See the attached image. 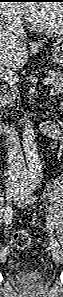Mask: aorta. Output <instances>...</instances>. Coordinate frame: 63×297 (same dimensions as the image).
I'll list each match as a JSON object with an SVG mask.
<instances>
[{
  "label": "aorta",
  "instance_id": "obj_1",
  "mask_svg": "<svg viewBox=\"0 0 63 297\" xmlns=\"http://www.w3.org/2000/svg\"><path fill=\"white\" fill-rule=\"evenodd\" d=\"M23 149L26 161L31 169H39V156L37 152V144L35 142V131L33 123L30 119L26 120L23 126Z\"/></svg>",
  "mask_w": 63,
  "mask_h": 297
}]
</instances>
